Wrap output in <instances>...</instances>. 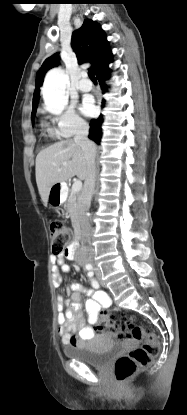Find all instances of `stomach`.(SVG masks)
I'll return each mask as SVG.
<instances>
[{"label":"stomach","mask_w":187,"mask_h":415,"mask_svg":"<svg viewBox=\"0 0 187 415\" xmlns=\"http://www.w3.org/2000/svg\"><path fill=\"white\" fill-rule=\"evenodd\" d=\"M64 189V183H57L51 187L49 191L48 202L52 207L57 208L62 204Z\"/></svg>","instance_id":"0dacf381"}]
</instances>
